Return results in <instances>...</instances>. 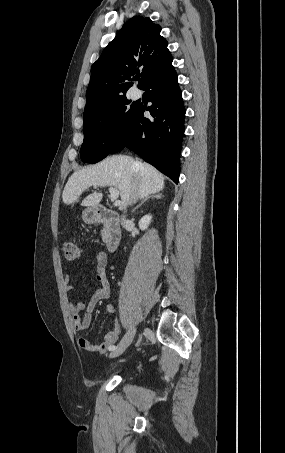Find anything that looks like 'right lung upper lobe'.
I'll list each match as a JSON object with an SVG mask.
<instances>
[{"mask_svg":"<svg viewBox=\"0 0 285 453\" xmlns=\"http://www.w3.org/2000/svg\"><path fill=\"white\" fill-rule=\"evenodd\" d=\"M160 32L161 27L148 17L134 16L124 25L91 67L84 114L125 96L139 68L143 88L172 66L168 43Z\"/></svg>","mask_w":285,"mask_h":453,"instance_id":"1","label":"right lung upper lobe"}]
</instances>
